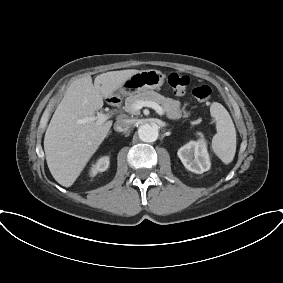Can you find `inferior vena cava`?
Instances as JSON below:
<instances>
[{"mask_svg": "<svg viewBox=\"0 0 283 283\" xmlns=\"http://www.w3.org/2000/svg\"><path fill=\"white\" fill-rule=\"evenodd\" d=\"M133 123L130 119L121 118L114 124V130L117 132L128 131L132 127Z\"/></svg>", "mask_w": 283, "mask_h": 283, "instance_id": "inferior-vena-cava-1", "label": "inferior vena cava"}]
</instances>
